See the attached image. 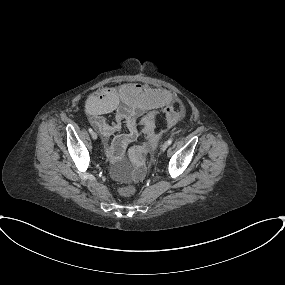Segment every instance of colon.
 Here are the masks:
<instances>
[{
	"mask_svg": "<svg viewBox=\"0 0 285 285\" xmlns=\"http://www.w3.org/2000/svg\"><path fill=\"white\" fill-rule=\"evenodd\" d=\"M178 107L177 105L175 106ZM157 113L155 112H149L145 114L141 118V125H142V133L143 135L148 139H155L157 137L156 129H157ZM177 119V115L174 114L171 117V123H174L173 121ZM138 161L133 167L130 176L128 178V181L137 182L141 180L146 172V163L142 160V155L139 153L137 155Z\"/></svg>",
	"mask_w": 285,
	"mask_h": 285,
	"instance_id": "obj_1",
	"label": "colon"
}]
</instances>
